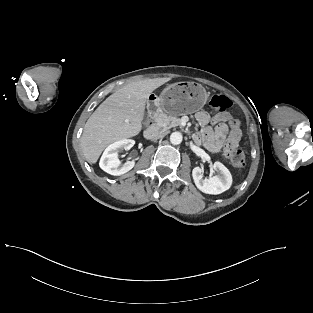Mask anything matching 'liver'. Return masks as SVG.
<instances>
[{
  "mask_svg": "<svg viewBox=\"0 0 313 313\" xmlns=\"http://www.w3.org/2000/svg\"><path fill=\"white\" fill-rule=\"evenodd\" d=\"M169 80L154 78L132 82L97 107L87 120L81 137L82 151L90 164L97 162L110 143L139 134L150 94Z\"/></svg>",
  "mask_w": 313,
  "mask_h": 313,
  "instance_id": "liver-1",
  "label": "liver"
}]
</instances>
